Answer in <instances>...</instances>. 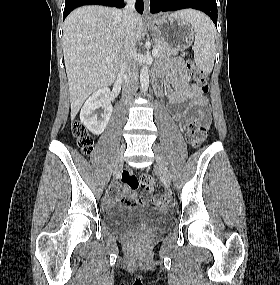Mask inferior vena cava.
<instances>
[{
  "mask_svg": "<svg viewBox=\"0 0 280 285\" xmlns=\"http://www.w3.org/2000/svg\"><path fill=\"white\" fill-rule=\"evenodd\" d=\"M125 8L122 11V21L124 25V46L120 59V71L123 75L124 83L122 97L125 102H129L137 91L139 68L136 61V38H135V0H125Z\"/></svg>",
  "mask_w": 280,
  "mask_h": 285,
  "instance_id": "602c4592",
  "label": "inferior vena cava"
}]
</instances>
